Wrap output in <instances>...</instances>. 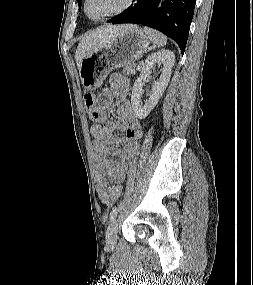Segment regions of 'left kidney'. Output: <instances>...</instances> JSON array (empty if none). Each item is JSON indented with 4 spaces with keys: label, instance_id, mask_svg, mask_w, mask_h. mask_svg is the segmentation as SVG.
<instances>
[{
    "label": "left kidney",
    "instance_id": "1",
    "mask_svg": "<svg viewBox=\"0 0 253 285\" xmlns=\"http://www.w3.org/2000/svg\"><path fill=\"white\" fill-rule=\"evenodd\" d=\"M175 62V55L170 50H161L151 54L141 69L140 76L134 82L132 88L131 104L133 111L139 119L146 118L149 113L157 105L159 99L162 97L171 77L172 68ZM162 66V73L160 79L153 85V92L149 99L143 104L141 97L143 94L144 82L148 79L151 70L156 66Z\"/></svg>",
    "mask_w": 253,
    "mask_h": 285
}]
</instances>
